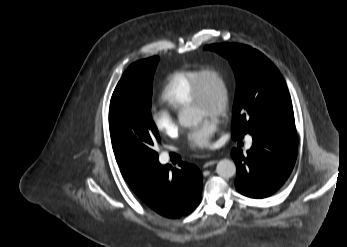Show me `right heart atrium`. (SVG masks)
I'll list each match as a JSON object with an SVG mask.
<instances>
[{"label":"right heart atrium","instance_id":"obj_1","mask_svg":"<svg viewBox=\"0 0 347 247\" xmlns=\"http://www.w3.org/2000/svg\"><path fill=\"white\" fill-rule=\"evenodd\" d=\"M150 119L155 129L165 136H171L177 131L175 118L167 109H152Z\"/></svg>","mask_w":347,"mask_h":247}]
</instances>
